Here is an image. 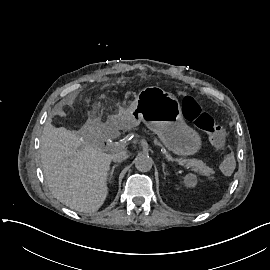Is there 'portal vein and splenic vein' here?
I'll return each instance as SVG.
<instances>
[{"instance_id": "18ae733b", "label": "portal vein and splenic vein", "mask_w": 270, "mask_h": 270, "mask_svg": "<svg viewBox=\"0 0 270 270\" xmlns=\"http://www.w3.org/2000/svg\"><path fill=\"white\" fill-rule=\"evenodd\" d=\"M120 151L119 146H113L111 149H107V152H111L112 154L118 153ZM179 166L184 167L186 164L182 161L177 163ZM187 166V165H186Z\"/></svg>"}]
</instances>
